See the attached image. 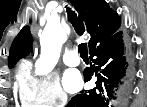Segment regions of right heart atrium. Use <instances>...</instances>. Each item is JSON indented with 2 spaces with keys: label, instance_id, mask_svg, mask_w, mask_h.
<instances>
[{
  "label": "right heart atrium",
  "instance_id": "obj_1",
  "mask_svg": "<svg viewBox=\"0 0 147 107\" xmlns=\"http://www.w3.org/2000/svg\"><path fill=\"white\" fill-rule=\"evenodd\" d=\"M19 95L22 104L37 107L63 106L68 100L55 74L39 77L30 68H23L19 72Z\"/></svg>",
  "mask_w": 147,
  "mask_h": 107
}]
</instances>
